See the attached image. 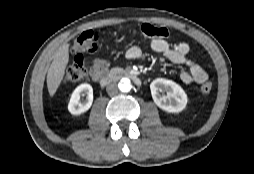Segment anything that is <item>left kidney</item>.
<instances>
[{"instance_id": "obj_1", "label": "left kidney", "mask_w": 254, "mask_h": 174, "mask_svg": "<svg viewBox=\"0 0 254 174\" xmlns=\"http://www.w3.org/2000/svg\"><path fill=\"white\" fill-rule=\"evenodd\" d=\"M155 104L164 111L177 113L182 111L188 102L187 94L177 83L164 78H157L150 84ZM166 91V95L161 92Z\"/></svg>"}]
</instances>
